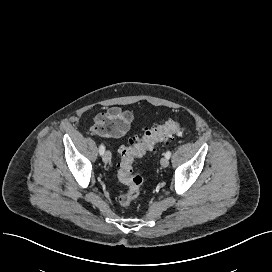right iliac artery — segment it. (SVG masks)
Wrapping results in <instances>:
<instances>
[{
	"mask_svg": "<svg viewBox=\"0 0 272 272\" xmlns=\"http://www.w3.org/2000/svg\"><path fill=\"white\" fill-rule=\"evenodd\" d=\"M104 151H105V146H104L103 144H101V145L99 146V153H100V155H103V154H104Z\"/></svg>",
	"mask_w": 272,
	"mask_h": 272,
	"instance_id": "right-iliac-artery-1",
	"label": "right iliac artery"
}]
</instances>
